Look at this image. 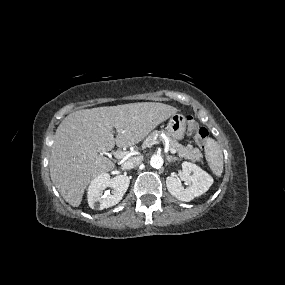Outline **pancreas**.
<instances>
[{"label":"pancreas","instance_id":"1","mask_svg":"<svg viewBox=\"0 0 285 285\" xmlns=\"http://www.w3.org/2000/svg\"><path fill=\"white\" fill-rule=\"evenodd\" d=\"M161 131L155 130L150 133L146 138L145 144H150L157 139H161ZM162 140V139H161ZM169 148L175 149L178 156L185 159H190L193 162H202V153L198 148H193L192 145H187L186 147L178 143L176 140L169 139Z\"/></svg>","mask_w":285,"mask_h":285}]
</instances>
